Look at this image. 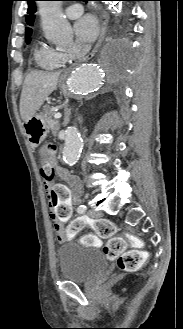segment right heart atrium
I'll list each match as a JSON object with an SVG mask.
<instances>
[{"label":"right heart atrium","mask_w":183,"mask_h":329,"mask_svg":"<svg viewBox=\"0 0 183 329\" xmlns=\"http://www.w3.org/2000/svg\"><path fill=\"white\" fill-rule=\"evenodd\" d=\"M79 54H80V52L77 51V52H75V53L64 54V56H65L66 59H69V58H73V57H75V56H77V55H79Z\"/></svg>","instance_id":"d8ad5b80"}]
</instances>
